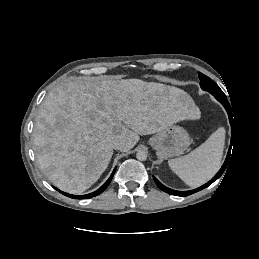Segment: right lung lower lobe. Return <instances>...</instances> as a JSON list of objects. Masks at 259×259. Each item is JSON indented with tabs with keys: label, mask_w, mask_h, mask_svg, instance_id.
<instances>
[{
	"label": "right lung lower lobe",
	"mask_w": 259,
	"mask_h": 259,
	"mask_svg": "<svg viewBox=\"0 0 259 259\" xmlns=\"http://www.w3.org/2000/svg\"><path fill=\"white\" fill-rule=\"evenodd\" d=\"M115 173V169L113 171V173L111 174V176L109 177V179L103 184L102 187H100L97 191L93 192V193H90V194H87V195H81V196H77V195H71V194H67V193H64L60 190H58L57 188H55L57 191H59L60 193H62L63 195H66L70 198H74V199H87V198H91V197H94L96 195H99L100 193H102L106 188L107 186L109 185L113 175Z\"/></svg>",
	"instance_id": "obj_1"
}]
</instances>
